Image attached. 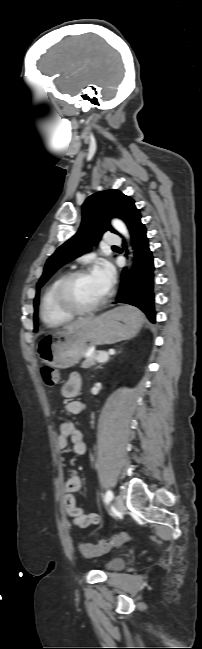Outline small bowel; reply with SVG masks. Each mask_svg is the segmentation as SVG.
<instances>
[{"mask_svg":"<svg viewBox=\"0 0 202 649\" xmlns=\"http://www.w3.org/2000/svg\"><path fill=\"white\" fill-rule=\"evenodd\" d=\"M81 389V378L79 374L72 373L62 386V395L66 398L75 397ZM66 411L71 415H79L83 411V404L78 400H70L65 405ZM69 442L72 444L74 454L82 456L86 453V444L83 441V435L74 424L70 421L62 422L57 437V447L59 450H65ZM82 485L81 477L77 472L65 481L63 491L65 493L63 504L67 514L71 517L74 525L80 528H87L92 525H98L101 517L97 513H85L82 508L77 506L74 494L77 493Z\"/></svg>","mask_w":202,"mask_h":649,"instance_id":"small-bowel-1","label":"small bowel"}]
</instances>
